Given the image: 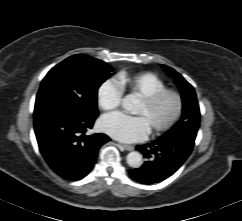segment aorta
<instances>
[{
	"label": "aorta",
	"instance_id": "1",
	"mask_svg": "<svg viewBox=\"0 0 242 221\" xmlns=\"http://www.w3.org/2000/svg\"><path fill=\"white\" fill-rule=\"evenodd\" d=\"M135 104L136 99L133 95H127L122 100V106L127 111H131ZM126 161L127 164L132 168H139L143 163L142 155L137 151L130 152L126 157Z\"/></svg>",
	"mask_w": 242,
	"mask_h": 221
}]
</instances>
